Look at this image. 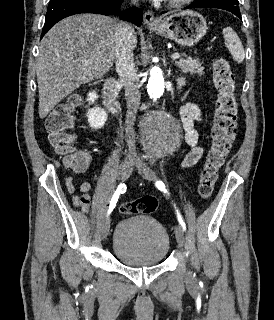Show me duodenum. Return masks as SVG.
<instances>
[{
	"label": "duodenum",
	"instance_id": "duodenum-1",
	"mask_svg": "<svg viewBox=\"0 0 274 320\" xmlns=\"http://www.w3.org/2000/svg\"><path fill=\"white\" fill-rule=\"evenodd\" d=\"M117 84V79L115 77H110L104 82L102 91L105 107L114 114L119 113L120 111V102L117 98Z\"/></svg>",
	"mask_w": 274,
	"mask_h": 320
}]
</instances>
